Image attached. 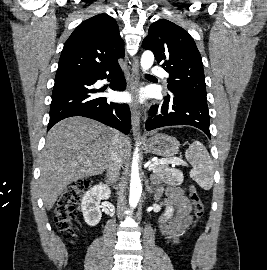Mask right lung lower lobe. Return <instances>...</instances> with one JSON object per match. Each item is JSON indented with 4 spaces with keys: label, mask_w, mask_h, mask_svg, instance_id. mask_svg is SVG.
Returning <instances> with one entry per match:
<instances>
[{
    "label": "right lung lower lobe",
    "mask_w": 267,
    "mask_h": 270,
    "mask_svg": "<svg viewBox=\"0 0 267 270\" xmlns=\"http://www.w3.org/2000/svg\"><path fill=\"white\" fill-rule=\"evenodd\" d=\"M111 78V89L123 91L126 81L119 64L102 70L55 78L50 105L48 130L62 119L83 116L102 122L128 134L130 110L126 104L108 102L99 97L100 90L92 88L99 79Z\"/></svg>",
    "instance_id": "1"
}]
</instances>
